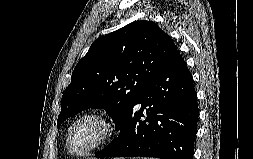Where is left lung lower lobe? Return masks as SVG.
Masks as SVG:
<instances>
[{
  "instance_id": "obj_1",
  "label": "left lung lower lobe",
  "mask_w": 253,
  "mask_h": 159,
  "mask_svg": "<svg viewBox=\"0 0 253 159\" xmlns=\"http://www.w3.org/2000/svg\"><path fill=\"white\" fill-rule=\"evenodd\" d=\"M146 106L147 117L142 120ZM198 115L192 75L177 52L147 84L120 127L119 136L96 157L193 159Z\"/></svg>"
}]
</instances>
